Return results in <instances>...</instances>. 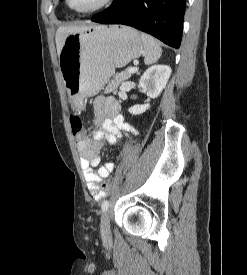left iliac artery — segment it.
<instances>
[{
	"mask_svg": "<svg viewBox=\"0 0 247 275\" xmlns=\"http://www.w3.org/2000/svg\"><path fill=\"white\" fill-rule=\"evenodd\" d=\"M109 208V201L108 200H105L102 202V205H101V209L103 212H106Z\"/></svg>",
	"mask_w": 247,
	"mask_h": 275,
	"instance_id": "obj_1",
	"label": "left iliac artery"
}]
</instances>
